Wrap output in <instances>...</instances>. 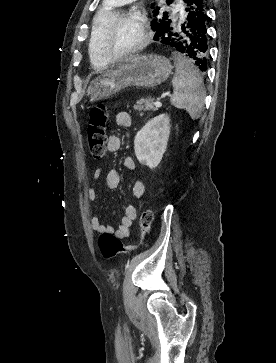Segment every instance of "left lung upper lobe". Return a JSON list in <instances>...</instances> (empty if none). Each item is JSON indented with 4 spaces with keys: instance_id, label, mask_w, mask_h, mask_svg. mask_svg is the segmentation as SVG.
Here are the masks:
<instances>
[{
    "instance_id": "1",
    "label": "left lung upper lobe",
    "mask_w": 276,
    "mask_h": 363,
    "mask_svg": "<svg viewBox=\"0 0 276 363\" xmlns=\"http://www.w3.org/2000/svg\"><path fill=\"white\" fill-rule=\"evenodd\" d=\"M172 1L173 0H167L166 3L167 4H171ZM184 2L186 3L187 0H184ZM159 9L160 8L157 7L156 10L153 11L154 16H157L159 14ZM172 22H173V20H171V19L168 18L167 12H164V16L161 17V18H159L157 20V22L156 21H152L151 22L152 29L157 32L159 29L163 28L164 26H168L169 27Z\"/></svg>"
}]
</instances>
